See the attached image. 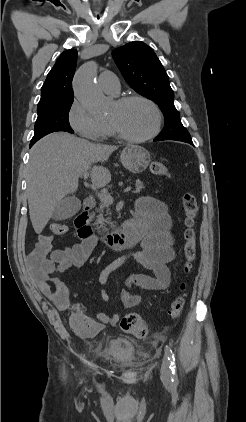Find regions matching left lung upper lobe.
<instances>
[{"instance_id": "obj_1", "label": "left lung upper lobe", "mask_w": 246, "mask_h": 422, "mask_svg": "<svg viewBox=\"0 0 246 422\" xmlns=\"http://www.w3.org/2000/svg\"><path fill=\"white\" fill-rule=\"evenodd\" d=\"M112 56L129 86L153 100L163 112L165 126L156 139L191 140L174 106L168 75L152 48L141 41H133L113 50Z\"/></svg>"}]
</instances>
